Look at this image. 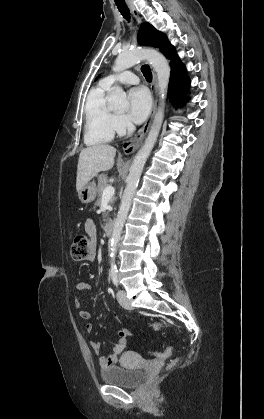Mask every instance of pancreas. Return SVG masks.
Returning a JSON list of instances; mask_svg holds the SVG:
<instances>
[{"instance_id": "pancreas-1", "label": "pancreas", "mask_w": 264, "mask_h": 419, "mask_svg": "<svg viewBox=\"0 0 264 419\" xmlns=\"http://www.w3.org/2000/svg\"><path fill=\"white\" fill-rule=\"evenodd\" d=\"M108 186H111V183H110L107 175L106 174H100L98 176V186H97L98 199L95 203L97 206H100L101 201H102L103 191ZM114 201H115V197L110 198L109 204H113Z\"/></svg>"}]
</instances>
